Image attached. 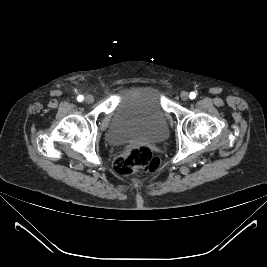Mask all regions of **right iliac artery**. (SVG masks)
I'll return each mask as SVG.
<instances>
[{
    "mask_svg": "<svg viewBox=\"0 0 267 267\" xmlns=\"http://www.w3.org/2000/svg\"><path fill=\"white\" fill-rule=\"evenodd\" d=\"M77 99H78V101H80V102H81V101L83 100V96H82V95H80V96H78V98H77Z\"/></svg>",
    "mask_w": 267,
    "mask_h": 267,
    "instance_id": "right-iliac-artery-1",
    "label": "right iliac artery"
}]
</instances>
